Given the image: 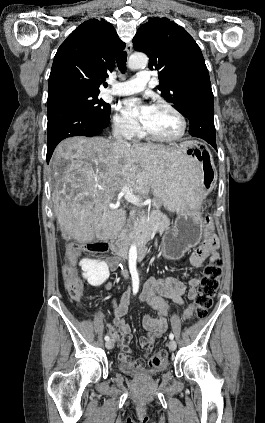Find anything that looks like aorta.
<instances>
[{"label": "aorta", "mask_w": 265, "mask_h": 423, "mask_svg": "<svg viewBox=\"0 0 265 423\" xmlns=\"http://www.w3.org/2000/svg\"><path fill=\"white\" fill-rule=\"evenodd\" d=\"M148 64V57L143 53H135L130 56L128 66L130 69L145 68ZM129 263L136 264L137 262V246L132 244L129 249Z\"/></svg>", "instance_id": "obj_1"}]
</instances>
